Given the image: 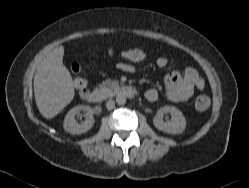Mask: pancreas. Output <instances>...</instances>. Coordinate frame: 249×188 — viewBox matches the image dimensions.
<instances>
[{
    "label": "pancreas",
    "mask_w": 249,
    "mask_h": 188,
    "mask_svg": "<svg viewBox=\"0 0 249 188\" xmlns=\"http://www.w3.org/2000/svg\"><path fill=\"white\" fill-rule=\"evenodd\" d=\"M118 86L117 81H113L110 79H107L106 81L102 82L99 87L102 91L112 93V91Z\"/></svg>",
    "instance_id": "cf45deb5"
}]
</instances>
